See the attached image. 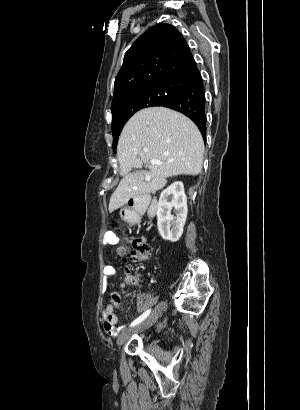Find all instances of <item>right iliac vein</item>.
<instances>
[{
  "instance_id": "1",
  "label": "right iliac vein",
  "mask_w": 300,
  "mask_h": 410,
  "mask_svg": "<svg viewBox=\"0 0 300 410\" xmlns=\"http://www.w3.org/2000/svg\"><path fill=\"white\" fill-rule=\"evenodd\" d=\"M165 305V302L159 303L152 311V313L144 321H142L135 327L123 331L118 337L117 344L122 345L132 334L136 332H141L151 327L156 322V320L161 316L163 310L165 309Z\"/></svg>"
}]
</instances>
